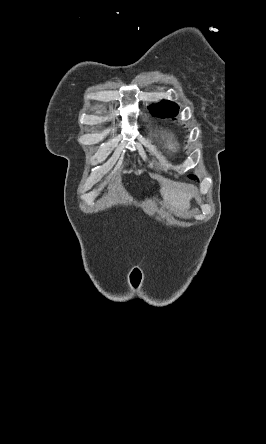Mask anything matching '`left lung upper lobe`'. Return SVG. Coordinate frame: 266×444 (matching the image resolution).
I'll use <instances>...</instances> for the list:
<instances>
[{"label": "left lung upper lobe", "instance_id": "left-lung-upper-lobe-1", "mask_svg": "<svg viewBox=\"0 0 266 444\" xmlns=\"http://www.w3.org/2000/svg\"><path fill=\"white\" fill-rule=\"evenodd\" d=\"M152 114L159 117H175L178 114L179 107L176 103L163 100L158 104L152 105L149 107ZM190 178L195 179V177L190 176Z\"/></svg>", "mask_w": 266, "mask_h": 444}]
</instances>
